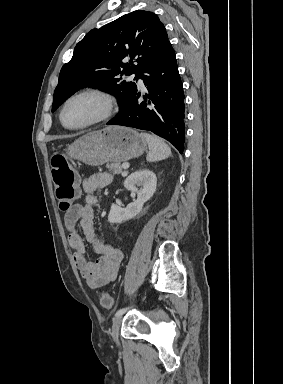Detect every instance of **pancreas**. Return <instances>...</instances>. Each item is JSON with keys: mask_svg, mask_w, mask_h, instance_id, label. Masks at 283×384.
I'll list each match as a JSON object with an SVG mask.
<instances>
[{"mask_svg": "<svg viewBox=\"0 0 283 384\" xmlns=\"http://www.w3.org/2000/svg\"><path fill=\"white\" fill-rule=\"evenodd\" d=\"M109 172H112V174H122V166L121 164H109L107 166Z\"/></svg>", "mask_w": 283, "mask_h": 384, "instance_id": "pancreas-1", "label": "pancreas"}]
</instances>
